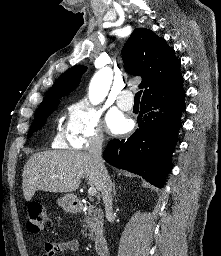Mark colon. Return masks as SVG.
<instances>
[{
    "label": "colon",
    "mask_w": 221,
    "mask_h": 256,
    "mask_svg": "<svg viewBox=\"0 0 221 256\" xmlns=\"http://www.w3.org/2000/svg\"><path fill=\"white\" fill-rule=\"evenodd\" d=\"M51 227L50 216L43 204L32 202L28 207L27 228L32 233L48 231Z\"/></svg>",
    "instance_id": "1"
}]
</instances>
